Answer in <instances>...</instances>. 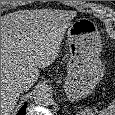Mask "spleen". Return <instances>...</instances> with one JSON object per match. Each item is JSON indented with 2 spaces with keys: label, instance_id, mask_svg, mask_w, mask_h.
<instances>
[{
  "label": "spleen",
  "instance_id": "obj_1",
  "mask_svg": "<svg viewBox=\"0 0 115 115\" xmlns=\"http://www.w3.org/2000/svg\"><path fill=\"white\" fill-rule=\"evenodd\" d=\"M75 115H95L91 109L77 112ZM98 115H115V99L106 107L103 108Z\"/></svg>",
  "mask_w": 115,
  "mask_h": 115
}]
</instances>
